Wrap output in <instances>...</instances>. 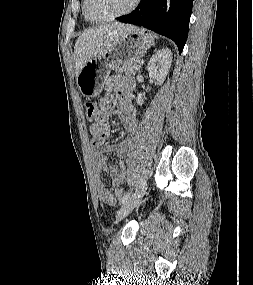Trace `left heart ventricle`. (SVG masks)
<instances>
[{"label": "left heart ventricle", "mask_w": 253, "mask_h": 285, "mask_svg": "<svg viewBox=\"0 0 253 285\" xmlns=\"http://www.w3.org/2000/svg\"><path fill=\"white\" fill-rule=\"evenodd\" d=\"M133 0H89L88 10L91 16L103 18L126 10Z\"/></svg>", "instance_id": "b2bd125f"}]
</instances>
